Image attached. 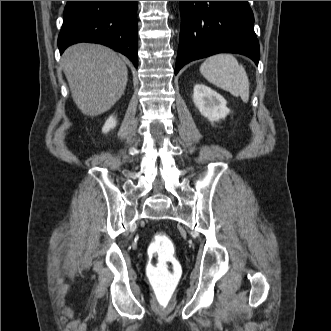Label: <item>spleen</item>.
Listing matches in <instances>:
<instances>
[{
  "instance_id": "1",
  "label": "spleen",
  "mask_w": 331,
  "mask_h": 331,
  "mask_svg": "<svg viewBox=\"0 0 331 331\" xmlns=\"http://www.w3.org/2000/svg\"><path fill=\"white\" fill-rule=\"evenodd\" d=\"M200 72L209 82L248 102V76L232 54L210 56L201 64Z\"/></svg>"
}]
</instances>
